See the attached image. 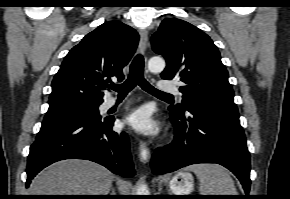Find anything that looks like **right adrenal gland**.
<instances>
[{
  "label": "right adrenal gland",
  "mask_w": 290,
  "mask_h": 199,
  "mask_svg": "<svg viewBox=\"0 0 290 199\" xmlns=\"http://www.w3.org/2000/svg\"><path fill=\"white\" fill-rule=\"evenodd\" d=\"M110 195H116L115 189L113 187L111 188V194Z\"/></svg>",
  "instance_id": "right-adrenal-gland-1"
}]
</instances>
